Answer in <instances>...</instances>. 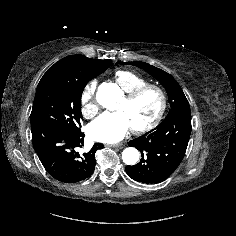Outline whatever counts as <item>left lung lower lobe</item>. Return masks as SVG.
<instances>
[{"label":"left lung lower lobe","mask_w":236,"mask_h":236,"mask_svg":"<svg viewBox=\"0 0 236 236\" xmlns=\"http://www.w3.org/2000/svg\"><path fill=\"white\" fill-rule=\"evenodd\" d=\"M191 130V112H180L130 141L129 146L140 150L142 158L138 164L126 166L127 174L142 183L165 181L184 158Z\"/></svg>","instance_id":"1"}]
</instances>
